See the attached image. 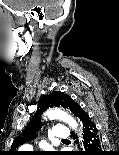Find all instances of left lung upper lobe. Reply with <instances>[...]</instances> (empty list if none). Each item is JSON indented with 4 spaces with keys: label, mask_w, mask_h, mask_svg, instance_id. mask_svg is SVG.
Segmentation results:
<instances>
[{
    "label": "left lung upper lobe",
    "mask_w": 119,
    "mask_h": 155,
    "mask_svg": "<svg viewBox=\"0 0 119 155\" xmlns=\"http://www.w3.org/2000/svg\"><path fill=\"white\" fill-rule=\"evenodd\" d=\"M75 103L70 96L64 94L60 91H54L50 95H44L38 102V107L35 115L30 120L29 124L25 127L22 133L14 140L11 146V155H18L15 149L25 143L33 139L36 135V132L41 127L40 114L46 111L49 107H59L69 109L74 113ZM54 155H62L61 153H55Z\"/></svg>",
    "instance_id": "left-lung-upper-lobe-1"
}]
</instances>
